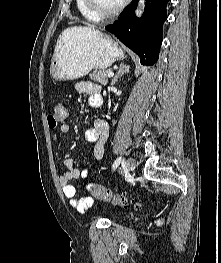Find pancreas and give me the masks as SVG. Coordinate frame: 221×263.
<instances>
[{
  "label": "pancreas",
  "mask_w": 221,
  "mask_h": 263,
  "mask_svg": "<svg viewBox=\"0 0 221 263\" xmlns=\"http://www.w3.org/2000/svg\"><path fill=\"white\" fill-rule=\"evenodd\" d=\"M111 72L110 69L108 70H95L90 73L89 78L95 82H99L102 85L108 84V73Z\"/></svg>",
  "instance_id": "cf45deb5"
}]
</instances>
